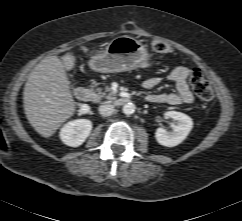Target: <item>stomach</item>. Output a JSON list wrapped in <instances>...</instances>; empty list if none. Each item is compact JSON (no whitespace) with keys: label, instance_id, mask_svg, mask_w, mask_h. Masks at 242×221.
I'll list each match as a JSON object with an SVG mask.
<instances>
[{"label":"stomach","instance_id":"1","mask_svg":"<svg viewBox=\"0 0 242 221\" xmlns=\"http://www.w3.org/2000/svg\"><path fill=\"white\" fill-rule=\"evenodd\" d=\"M151 65V54L146 46L129 36L114 38L104 51L92 56L89 61V67L99 73H117Z\"/></svg>","mask_w":242,"mask_h":221}]
</instances>
